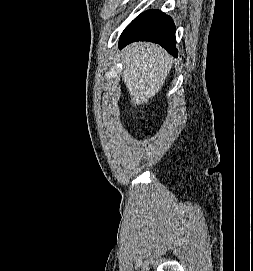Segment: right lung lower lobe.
Listing matches in <instances>:
<instances>
[{"mask_svg":"<svg viewBox=\"0 0 253 271\" xmlns=\"http://www.w3.org/2000/svg\"><path fill=\"white\" fill-rule=\"evenodd\" d=\"M175 25L172 19L159 10H149L136 17L123 31L119 48L134 41L160 44L168 53L177 57Z\"/></svg>","mask_w":253,"mask_h":271,"instance_id":"98d812e1","label":"right lung lower lobe"}]
</instances>
